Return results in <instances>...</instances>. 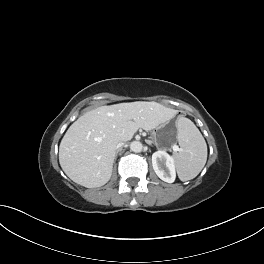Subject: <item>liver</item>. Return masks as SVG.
Here are the masks:
<instances>
[{
  "label": "liver",
  "mask_w": 264,
  "mask_h": 264,
  "mask_svg": "<svg viewBox=\"0 0 264 264\" xmlns=\"http://www.w3.org/2000/svg\"><path fill=\"white\" fill-rule=\"evenodd\" d=\"M175 111L156 102L101 106L80 116L66 131L59 146V163L75 183L87 188L105 185L111 178L116 145L142 128L155 129Z\"/></svg>",
  "instance_id": "obj_1"
}]
</instances>
